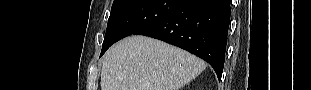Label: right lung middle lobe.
Returning <instances> with one entry per match:
<instances>
[{
	"label": "right lung middle lobe",
	"instance_id": "1",
	"mask_svg": "<svg viewBox=\"0 0 311 90\" xmlns=\"http://www.w3.org/2000/svg\"><path fill=\"white\" fill-rule=\"evenodd\" d=\"M184 0H114L101 55L116 41L136 34L175 10Z\"/></svg>",
	"mask_w": 311,
	"mask_h": 90
}]
</instances>
